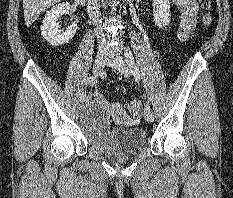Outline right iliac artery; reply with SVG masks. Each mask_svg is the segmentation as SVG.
<instances>
[{"label": "right iliac artery", "instance_id": "obj_1", "mask_svg": "<svg viewBox=\"0 0 233 198\" xmlns=\"http://www.w3.org/2000/svg\"><path fill=\"white\" fill-rule=\"evenodd\" d=\"M96 77L95 76H90L89 78L86 79V82H85V85H90L91 83H93L94 79ZM86 98V93L83 92L81 95H80V101L83 102Z\"/></svg>", "mask_w": 233, "mask_h": 198}]
</instances>
